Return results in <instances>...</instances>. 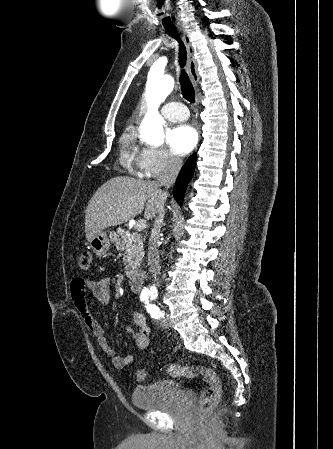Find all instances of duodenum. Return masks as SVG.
I'll use <instances>...</instances> for the list:
<instances>
[{"mask_svg": "<svg viewBox=\"0 0 333 449\" xmlns=\"http://www.w3.org/2000/svg\"><path fill=\"white\" fill-rule=\"evenodd\" d=\"M144 281V273L142 271L132 272L129 276V287L132 292H140Z\"/></svg>", "mask_w": 333, "mask_h": 449, "instance_id": "1", "label": "duodenum"}]
</instances>
